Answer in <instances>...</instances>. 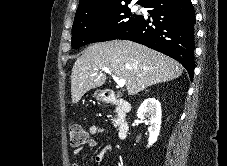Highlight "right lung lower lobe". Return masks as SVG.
<instances>
[{
    "label": "right lung lower lobe",
    "mask_w": 227,
    "mask_h": 166,
    "mask_svg": "<svg viewBox=\"0 0 227 166\" xmlns=\"http://www.w3.org/2000/svg\"><path fill=\"white\" fill-rule=\"evenodd\" d=\"M143 6L150 9L152 21L142 16L117 39L143 44L176 59L192 80L195 12L191 0H149Z\"/></svg>",
    "instance_id": "1"
}]
</instances>
